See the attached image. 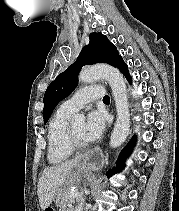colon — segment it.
Returning a JSON list of instances; mask_svg holds the SVG:
<instances>
[{"label": "colon", "instance_id": "colon-1", "mask_svg": "<svg viewBox=\"0 0 179 211\" xmlns=\"http://www.w3.org/2000/svg\"><path fill=\"white\" fill-rule=\"evenodd\" d=\"M45 211H54L52 208H47Z\"/></svg>", "mask_w": 179, "mask_h": 211}]
</instances>
